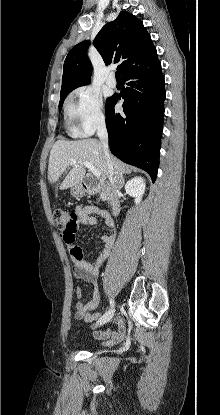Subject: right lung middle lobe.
<instances>
[{"label": "right lung middle lobe", "instance_id": "right-lung-middle-lobe-1", "mask_svg": "<svg viewBox=\"0 0 220 415\" xmlns=\"http://www.w3.org/2000/svg\"><path fill=\"white\" fill-rule=\"evenodd\" d=\"M72 90H73V89H72ZM72 90H70V91H72ZM70 91H67V92H64V93H61V94H60L59 111H60V110H61V108H62V105H63V102H64L65 97L67 96V94H68ZM108 99H109V98H108ZM108 99H107L106 104L108 103Z\"/></svg>", "mask_w": 220, "mask_h": 415}]
</instances>
